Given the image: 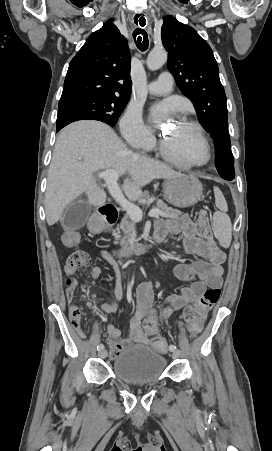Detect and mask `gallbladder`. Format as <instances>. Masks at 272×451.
Segmentation results:
<instances>
[{
  "label": "gallbladder",
  "instance_id": "gallbladder-1",
  "mask_svg": "<svg viewBox=\"0 0 272 451\" xmlns=\"http://www.w3.org/2000/svg\"><path fill=\"white\" fill-rule=\"evenodd\" d=\"M92 206L88 204L87 200H75L72 204L67 206L61 222V226L65 229H79L85 226L90 214Z\"/></svg>",
  "mask_w": 272,
  "mask_h": 451
}]
</instances>
